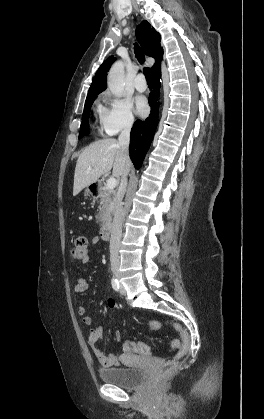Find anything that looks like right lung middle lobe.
Segmentation results:
<instances>
[{"label": "right lung middle lobe", "instance_id": "dd1d6c3e", "mask_svg": "<svg viewBox=\"0 0 264 419\" xmlns=\"http://www.w3.org/2000/svg\"><path fill=\"white\" fill-rule=\"evenodd\" d=\"M96 96L86 100L85 102V109H84V113H83V117H82V123L80 126V133H79V138L87 135L89 133V113H90V108L92 106L93 101L95 100Z\"/></svg>", "mask_w": 264, "mask_h": 419}]
</instances>
